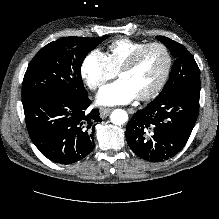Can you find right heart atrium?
Returning a JSON list of instances; mask_svg holds the SVG:
<instances>
[{
    "label": "right heart atrium",
    "mask_w": 219,
    "mask_h": 219,
    "mask_svg": "<svg viewBox=\"0 0 219 219\" xmlns=\"http://www.w3.org/2000/svg\"><path fill=\"white\" fill-rule=\"evenodd\" d=\"M81 76L90 89L98 90L115 76V71L110 66L106 54L94 49L83 59Z\"/></svg>",
    "instance_id": "right-heart-atrium-1"
}]
</instances>
